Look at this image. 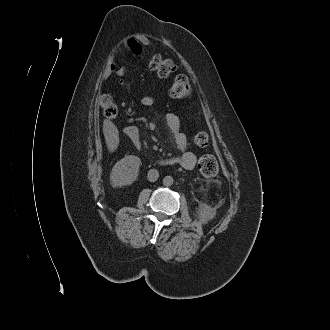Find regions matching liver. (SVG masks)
I'll list each match as a JSON object with an SVG mask.
<instances>
[{"label": "liver", "instance_id": "liver-1", "mask_svg": "<svg viewBox=\"0 0 330 330\" xmlns=\"http://www.w3.org/2000/svg\"><path fill=\"white\" fill-rule=\"evenodd\" d=\"M103 132L106 145L110 151H114L119 144V131L114 123L109 120L103 122Z\"/></svg>", "mask_w": 330, "mask_h": 330}]
</instances>
